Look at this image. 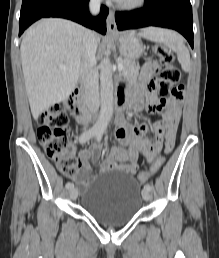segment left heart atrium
<instances>
[{
  "label": "left heart atrium",
  "instance_id": "left-heart-atrium-1",
  "mask_svg": "<svg viewBox=\"0 0 219 258\" xmlns=\"http://www.w3.org/2000/svg\"><path fill=\"white\" fill-rule=\"evenodd\" d=\"M114 1L120 2V1H122V0H114Z\"/></svg>",
  "mask_w": 219,
  "mask_h": 258
}]
</instances>
